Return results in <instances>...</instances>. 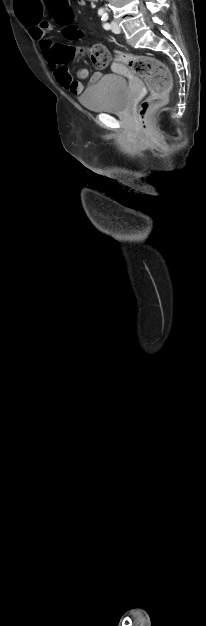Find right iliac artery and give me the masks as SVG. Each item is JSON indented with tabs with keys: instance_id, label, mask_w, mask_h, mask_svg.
Listing matches in <instances>:
<instances>
[{
	"instance_id": "right-iliac-artery-1",
	"label": "right iliac artery",
	"mask_w": 206,
	"mask_h": 626,
	"mask_svg": "<svg viewBox=\"0 0 206 626\" xmlns=\"http://www.w3.org/2000/svg\"><path fill=\"white\" fill-rule=\"evenodd\" d=\"M98 14H99V16H103L105 13H104L103 9H100V10L98 11Z\"/></svg>"
}]
</instances>
